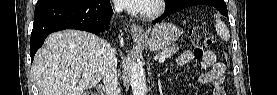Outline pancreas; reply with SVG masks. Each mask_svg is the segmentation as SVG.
<instances>
[{
	"label": "pancreas",
	"instance_id": "1",
	"mask_svg": "<svg viewBox=\"0 0 277 95\" xmlns=\"http://www.w3.org/2000/svg\"><path fill=\"white\" fill-rule=\"evenodd\" d=\"M178 52V47L177 46H170L167 48H164L159 52L160 56H165L166 58H171L174 54Z\"/></svg>",
	"mask_w": 277,
	"mask_h": 95
}]
</instances>
